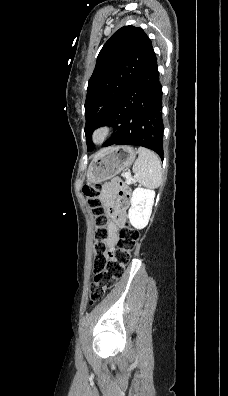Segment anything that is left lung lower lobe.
Instances as JSON below:
<instances>
[{"mask_svg": "<svg viewBox=\"0 0 228 396\" xmlns=\"http://www.w3.org/2000/svg\"><path fill=\"white\" fill-rule=\"evenodd\" d=\"M110 126L114 133L104 146L138 145L163 159L162 86L155 53L117 104Z\"/></svg>", "mask_w": 228, "mask_h": 396, "instance_id": "1", "label": "left lung lower lobe"}]
</instances>
